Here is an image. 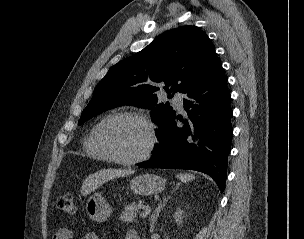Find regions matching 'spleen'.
<instances>
[{
  "label": "spleen",
  "mask_w": 304,
  "mask_h": 239,
  "mask_svg": "<svg viewBox=\"0 0 304 239\" xmlns=\"http://www.w3.org/2000/svg\"><path fill=\"white\" fill-rule=\"evenodd\" d=\"M178 177L183 181H190L195 178L194 175L190 173H181Z\"/></svg>",
  "instance_id": "spleen-1"
}]
</instances>
